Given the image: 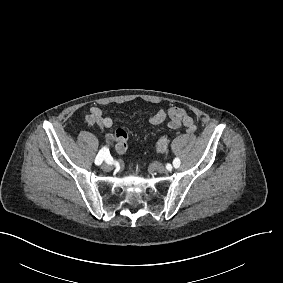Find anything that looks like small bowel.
<instances>
[{"instance_id": "obj_1", "label": "small bowel", "mask_w": 283, "mask_h": 283, "mask_svg": "<svg viewBox=\"0 0 283 283\" xmlns=\"http://www.w3.org/2000/svg\"><path fill=\"white\" fill-rule=\"evenodd\" d=\"M87 123L97 125L101 129H110L113 126L112 118L105 116L102 109L98 106H91L88 110V114L85 117ZM149 122L153 125H160L166 122V126L170 129H178L185 127L189 133H193L196 130V125L193 118L186 112L185 109L174 107L168 110H157L150 118ZM107 140L115 141L116 150L119 154H123L126 151V132L123 129H117L112 133L107 134Z\"/></svg>"}]
</instances>
